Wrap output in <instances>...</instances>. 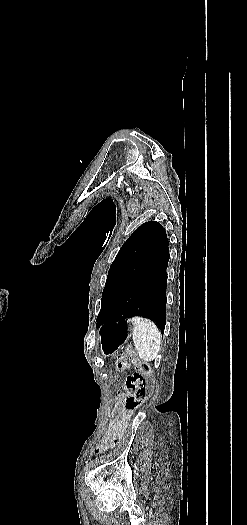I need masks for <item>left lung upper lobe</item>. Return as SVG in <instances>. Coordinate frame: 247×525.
I'll return each mask as SVG.
<instances>
[{"label":"left lung upper lobe","instance_id":"1","mask_svg":"<svg viewBox=\"0 0 247 525\" xmlns=\"http://www.w3.org/2000/svg\"><path fill=\"white\" fill-rule=\"evenodd\" d=\"M165 236V229L160 223L149 221L139 226L126 240L108 272L97 324H102L110 308L147 268Z\"/></svg>","mask_w":247,"mask_h":525}]
</instances>
